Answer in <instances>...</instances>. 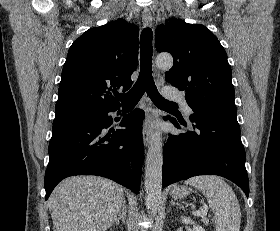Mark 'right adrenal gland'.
Returning a JSON list of instances; mask_svg holds the SVG:
<instances>
[{"label":"right adrenal gland","instance_id":"right-adrenal-gland-1","mask_svg":"<svg viewBox=\"0 0 280 231\" xmlns=\"http://www.w3.org/2000/svg\"><path fill=\"white\" fill-rule=\"evenodd\" d=\"M126 211H127V209H126L124 203H122V207H121L120 211H118V215H116V217L114 219L115 225H118V223H120V219L124 223L125 217H126Z\"/></svg>","mask_w":280,"mask_h":231}]
</instances>
